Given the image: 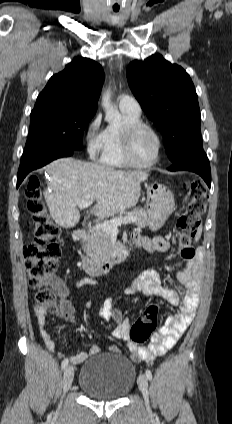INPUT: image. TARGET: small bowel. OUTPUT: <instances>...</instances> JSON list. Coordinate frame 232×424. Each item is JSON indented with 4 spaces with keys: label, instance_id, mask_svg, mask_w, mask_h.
Returning a JSON list of instances; mask_svg holds the SVG:
<instances>
[{
    "label": "small bowel",
    "instance_id": "small-bowel-1",
    "mask_svg": "<svg viewBox=\"0 0 232 424\" xmlns=\"http://www.w3.org/2000/svg\"><path fill=\"white\" fill-rule=\"evenodd\" d=\"M132 239L136 246L143 247L149 251L166 252L175 242L163 237L147 238L134 233ZM202 256L198 254L192 258L188 265L177 273V280L185 286L184 293L168 287L164 284L162 276L156 271H144L141 273L126 290L128 295L145 293L151 296L166 299L172 305L178 307V311L169 315L164 325L155 333L147 346H140L130 341V322L123 317L120 310L113 308L111 300L106 299L100 309V316L105 321H112L114 328L112 335L119 340L127 342L130 358L133 362L151 363L155 358L164 355L172 349L183 333L191 324L198 307V296L200 292V281L202 277ZM58 280V279H57ZM95 282L89 278H80L75 282L76 287L93 285ZM58 293L65 298L69 293V288L65 283L58 280ZM63 313L61 317L68 322L74 323V308L66 300L62 303ZM34 314L37 320L41 337L46 346L53 350L56 346L55 339L47 330V309L45 306L36 304ZM109 351L113 354L120 352L117 345H111ZM100 347L96 344L90 346L89 352H80L72 357L73 363L83 362L88 355H97Z\"/></svg>",
    "mask_w": 232,
    "mask_h": 424
}]
</instances>
